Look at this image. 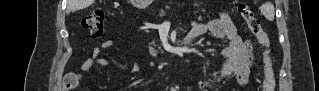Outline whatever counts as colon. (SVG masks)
<instances>
[{
    "label": "colon",
    "instance_id": "obj_1",
    "mask_svg": "<svg viewBox=\"0 0 319 91\" xmlns=\"http://www.w3.org/2000/svg\"><path fill=\"white\" fill-rule=\"evenodd\" d=\"M238 12L246 21L248 29L255 36L258 43L266 48L263 56V84L262 91H274L275 89V73L272 66V61L269 55V38L263 30L260 20L255 17L254 13L246 3L238 4ZM81 26L92 37L102 35L105 27V14L102 10H93L85 15L81 20Z\"/></svg>",
    "mask_w": 319,
    "mask_h": 91
}]
</instances>
